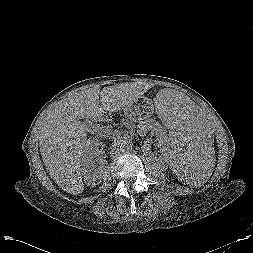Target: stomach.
Returning <instances> with one entry per match:
<instances>
[{
    "mask_svg": "<svg viewBox=\"0 0 253 253\" xmlns=\"http://www.w3.org/2000/svg\"><path fill=\"white\" fill-rule=\"evenodd\" d=\"M152 100L142 98L124 108V115L131 121H142L150 118L154 113Z\"/></svg>",
    "mask_w": 253,
    "mask_h": 253,
    "instance_id": "1",
    "label": "stomach"
}]
</instances>
